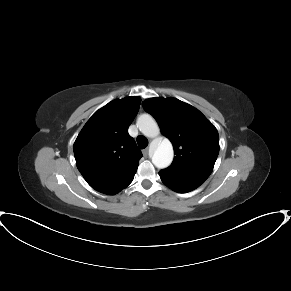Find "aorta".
<instances>
[{"label":"aorta","instance_id":"762f6f07","mask_svg":"<svg viewBox=\"0 0 291 291\" xmlns=\"http://www.w3.org/2000/svg\"><path fill=\"white\" fill-rule=\"evenodd\" d=\"M136 124L140 132L148 138L156 139L160 135V128L157 122L149 114L140 115ZM173 156V146L168 139L164 138L157 143L152 162L158 169H164L171 164Z\"/></svg>","mask_w":291,"mask_h":291}]
</instances>
